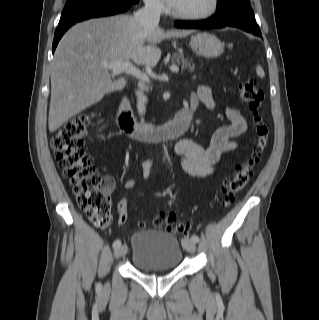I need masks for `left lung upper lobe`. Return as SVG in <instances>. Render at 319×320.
Masks as SVG:
<instances>
[{
	"label": "left lung upper lobe",
	"instance_id": "1",
	"mask_svg": "<svg viewBox=\"0 0 319 320\" xmlns=\"http://www.w3.org/2000/svg\"><path fill=\"white\" fill-rule=\"evenodd\" d=\"M237 4L250 5V2L249 0H218L217 9Z\"/></svg>",
	"mask_w": 319,
	"mask_h": 320
}]
</instances>
